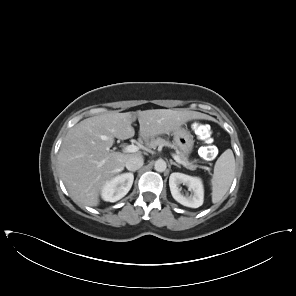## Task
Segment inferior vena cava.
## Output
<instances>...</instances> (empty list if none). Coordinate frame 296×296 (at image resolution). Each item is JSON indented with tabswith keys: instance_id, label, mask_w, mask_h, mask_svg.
<instances>
[{
	"instance_id": "obj_1",
	"label": "inferior vena cava",
	"mask_w": 296,
	"mask_h": 296,
	"mask_svg": "<svg viewBox=\"0 0 296 296\" xmlns=\"http://www.w3.org/2000/svg\"><path fill=\"white\" fill-rule=\"evenodd\" d=\"M143 164L144 160L142 157L133 156L126 161L125 166L129 171H136L140 169L143 166Z\"/></svg>"
}]
</instances>
